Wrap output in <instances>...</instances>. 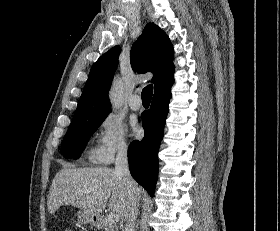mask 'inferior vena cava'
I'll return each instance as SVG.
<instances>
[{
    "label": "inferior vena cava",
    "mask_w": 280,
    "mask_h": 231,
    "mask_svg": "<svg viewBox=\"0 0 280 231\" xmlns=\"http://www.w3.org/2000/svg\"><path fill=\"white\" fill-rule=\"evenodd\" d=\"M115 173L116 175H120V177H125V181L129 183V185H133V187H137V183H135L134 179H132L128 167V159H127V145L124 141H121L118 145L117 155L115 159ZM139 213V197L138 195H134L132 201L131 211L128 215V219L126 221V225L123 231H135V219Z\"/></svg>",
    "instance_id": "602c4592"
}]
</instances>
